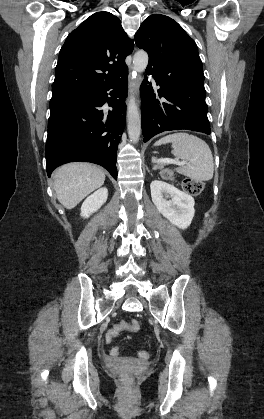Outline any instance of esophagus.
Here are the masks:
<instances>
[{
    "label": "esophagus",
    "mask_w": 264,
    "mask_h": 419,
    "mask_svg": "<svg viewBox=\"0 0 264 419\" xmlns=\"http://www.w3.org/2000/svg\"><path fill=\"white\" fill-rule=\"evenodd\" d=\"M131 73H132V69L131 67L129 68V81H131Z\"/></svg>",
    "instance_id": "obj_1"
}]
</instances>
